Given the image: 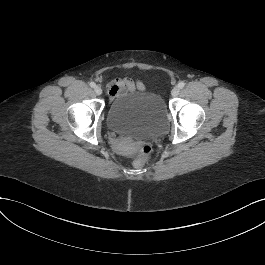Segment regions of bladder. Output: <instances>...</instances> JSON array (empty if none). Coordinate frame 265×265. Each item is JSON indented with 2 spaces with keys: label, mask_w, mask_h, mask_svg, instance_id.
<instances>
[{
  "label": "bladder",
  "mask_w": 265,
  "mask_h": 265,
  "mask_svg": "<svg viewBox=\"0 0 265 265\" xmlns=\"http://www.w3.org/2000/svg\"><path fill=\"white\" fill-rule=\"evenodd\" d=\"M168 108L161 96L144 91L116 97L106 112L108 129L122 136L140 137L165 129Z\"/></svg>",
  "instance_id": "31cf9c89"
}]
</instances>
